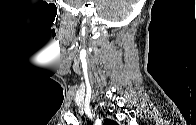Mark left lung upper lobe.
<instances>
[{
	"label": "left lung upper lobe",
	"mask_w": 196,
	"mask_h": 125,
	"mask_svg": "<svg viewBox=\"0 0 196 125\" xmlns=\"http://www.w3.org/2000/svg\"><path fill=\"white\" fill-rule=\"evenodd\" d=\"M107 122H109V125H117V123L112 120H107Z\"/></svg>",
	"instance_id": "obj_1"
}]
</instances>
